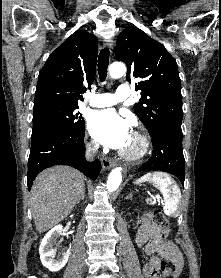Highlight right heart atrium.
<instances>
[{"mask_svg":"<svg viewBox=\"0 0 221 278\" xmlns=\"http://www.w3.org/2000/svg\"><path fill=\"white\" fill-rule=\"evenodd\" d=\"M88 149L93 150L95 148V144L93 142L88 143Z\"/></svg>","mask_w":221,"mask_h":278,"instance_id":"right-heart-atrium-1","label":"right heart atrium"}]
</instances>
